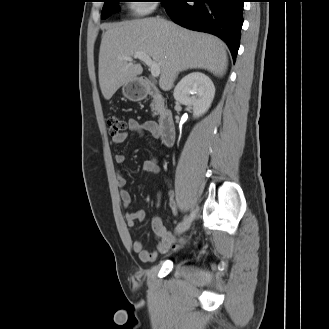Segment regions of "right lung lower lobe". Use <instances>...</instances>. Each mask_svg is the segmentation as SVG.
<instances>
[{
	"instance_id": "right-lung-lower-lobe-1",
	"label": "right lung lower lobe",
	"mask_w": 329,
	"mask_h": 329,
	"mask_svg": "<svg viewBox=\"0 0 329 329\" xmlns=\"http://www.w3.org/2000/svg\"><path fill=\"white\" fill-rule=\"evenodd\" d=\"M243 3L244 0H168L163 6L175 23L221 38L235 61L243 24Z\"/></svg>"
}]
</instances>
